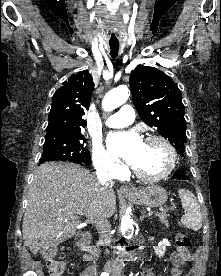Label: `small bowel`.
Listing matches in <instances>:
<instances>
[{
	"label": "small bowel",
	"mask_w": 221,
	"mask_h": 276,
	"mask_svg": "<svg viewBox=\"0 0 221 276\" xmlns=\"http://www.w3.org/2000/svg\"><path fill=\"white\" fill-rule=\"evenodd\" d=\"M85 259H88V257L85 256ZM190 259L191 255L188 250H182L177 248L171 254V262L174 265V267L171 270L172 276H183V265L184 263L190 261Z\"/></svg>",
	"instance_id": "obj_1"
}]
</instances>
